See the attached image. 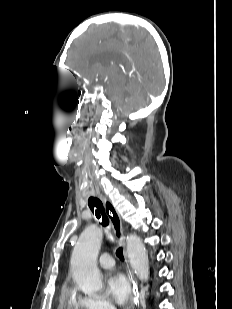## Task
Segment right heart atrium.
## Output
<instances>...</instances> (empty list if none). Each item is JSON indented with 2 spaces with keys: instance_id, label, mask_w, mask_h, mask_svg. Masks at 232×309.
<instances>
[{
  "instance_id": "1",
  "label": "right heart atrium",
  "mask_w": 232,
  "mask_h": 309,
  "mask_svg": "<svg viewBox=\"0 0 232 309\" xmlns=\"http://www.w3.org/2000/svg\"><path fill=\"white\" fill-rule=\"evenodd\" d=\"M80 309H115L113 304L103 296H80L74 298Z\"/></svg>"
}]
</instances>
